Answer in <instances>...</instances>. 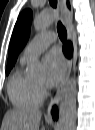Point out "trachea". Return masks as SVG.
Returning <instances> with one entry per match:
<instances>
[{"mask_svg":"<svg viewBox=\"0 0 95 130\" xmlns=\"http://www.w3.org/2000/svg\"><path fill=\"white\" fill-rule=\"evenodd\" d=\"M50 5L53 8H56L57 0H50ZM57 31H58V35H59V38L61 39V41L65 42L67 39V31L60 21L57 24Z\"/></svg>","mask_w":95,"mask_h":130,"instance_id":"obj_1","label":"trachea"}]
</instances>
